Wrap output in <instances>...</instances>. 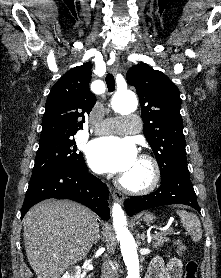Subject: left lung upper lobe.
Here are the masks:
<instances>
[{"label":"left lung upper lobe","instance_id":"left-lung-upper-lobe-1","mask_svg":"<svg viewBox=\"0 0 221 278\" xmlns=\"http://www.w3.org/2000/svg\"><path fill=\"white\" fill-rule=\"evenodd\" d=\"M126 79L138 93L143 133L157 159L161 177L187 166L178 88L164 73L147 64L131 67Z\"/></svg>","mask_w":221,"mask_h":278}]
</instances>
